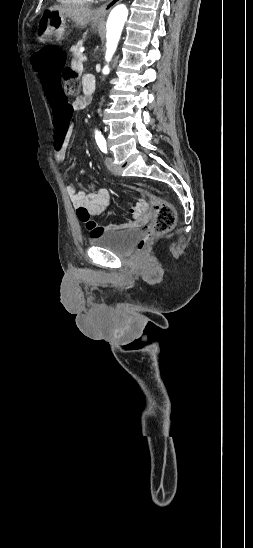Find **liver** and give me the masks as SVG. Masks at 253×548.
Segmentation results:
<instances>
[{"label": "liver", "instance_id": "liver-1", "mask_svg": "<svg viewBox=\"0 0 253 548\" xmlns=\"http://www.w3.org/2000/svg\"><path fill=\"white\" fill-rule=\"evenodd\" d=\"M50 9L59 11L81 27H86L94 15V10L84 5H55Z\"/></svg>", "mask_w": 253, "mask_h": 548}]
</instances>
